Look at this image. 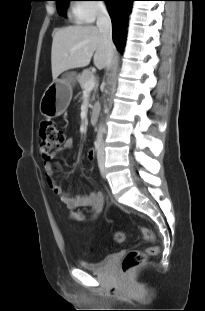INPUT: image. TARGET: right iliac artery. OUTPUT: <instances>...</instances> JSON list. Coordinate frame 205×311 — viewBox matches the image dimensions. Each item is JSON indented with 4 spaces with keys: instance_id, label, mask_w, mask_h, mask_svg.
<instances>
[{
    "instance_id": "right-iliac-artery-1",
    "label": "right iliac artery",
    "mask_w": 205,
    "mask_h": 311,
    "mask_svg": "<svg viewBox=\"0 0 205 311\" xmlns=\"http://www.w3.org/2000/svg\"><path fill=\"white\" fill-rule=\"evenodd\" d=\"M94 145H95V150H96L97 154H99L100 147H101L100 141H95Z\"/></svg>"
}]
</instances>
